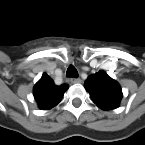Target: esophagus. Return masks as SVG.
I'll return each instance as SVG.
<instances>
[{
	"instance_id": "esophagus-1",
	"label": "esophagus",
	"mask_w": 145,
	"mask_h": 145,
	"mask_svg": "<svg viewBox=\"0 0 145 145\" xmlns=\"http://www.w3.org/2000/svg\"><path fill=\"white\" fill-rule=\"evenodd\" d=\"M70 81H71V83H74V84L81 83V79L80 78H71Z\"/></svg>"
}]
</instances>
